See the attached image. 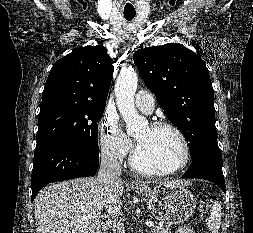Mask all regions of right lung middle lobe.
Masks as SVG:
<instances>
[{
  "label": "right lung middle lobe",
  "instance_id": "1",
  "mask_svg": "<svg viewBox=\"0 0 253 233\" xmlns=\"http://www.w3.org/2000/svg\"><path fill=\"white\" fill-rule=\"evenodd\" d=\"M105 103L88 101H49L41 104L38 118L37 145L48 140L65 141L99 151L97 121Z\"/></svg>",
  "mask_w": 253,
  "mask_h": 233
}]
</instances>
